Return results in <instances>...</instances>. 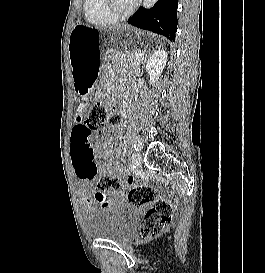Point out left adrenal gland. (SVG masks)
<instances>
[{"mask_svg":"<svg viewBox=\"0 0 265 273\" xmlns=\"http://www.w3.org/2000/svg\"><path fill=\"white\" fill-rule=\"evenodd\" d=\"M144 61H145V59L143 58V59L141 60V63L143 64V63H144Z\"/></svg>","mask_w":265,"mask_h":273,"instance_id":"obj_1","label":"left adrenal gland"}]
</instances>
